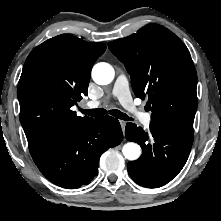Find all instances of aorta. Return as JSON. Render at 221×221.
Returning <instances> with one entry per match:
<instances>
[{"instance_id": "762f6f07", "label": "aorta", "mask_w": 221, "mask_h": 221, "mask_svg": "<svg viewBox=\"0 0 221 221\" xmlns=\"http://www.w3.org/2000/svg\"><path fill=\"white\" fill-rule=\"evenodd\" d=\"M114 69L108 63H98L92 69V78L95 83L99 85H107L111 83L114 79ZM123 155L128 160H136L141 155V148L138 144L129 142L123 146Z\"/></svg>"}]
</instances>
